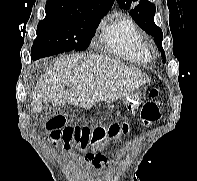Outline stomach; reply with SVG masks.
Here are the masks:
<instances>
[{
	"label": "stomach",
	"instance_id": "0dacf381",
	"mask_svg": "<svg viewBox=\"0 0 197 181\" xmlns=\"http://www.w3.org/2000/svg\"><path fill=\"white\" fill-rule=\"evenodd\" d=\"M141 99V93L139 91H136L135 93H131L124 97V105L126 108L130 110H134L139 106Z\"/></svg>",
	"mask_w": 197,
	"mask_h": 181
}]
</instances>
